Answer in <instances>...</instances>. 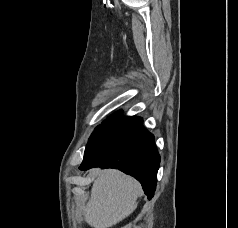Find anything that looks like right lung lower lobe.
<instances>
[{
    "label": "right lung lower lobe",
    "mask_w": 238,
    "mask_h": 228,
    "mask_svg": "<svg viewBox=\"0 0 238 228\" xmlns=\"http://www.w3.org/2000/svg\"><path fill=\"white\" fill-rule=\"evenodd\" d=\"M140 117H120L110 123L85 149L79 169L116 168L140 181L149 199L156 188L160 156L154 136L142 126Z\"/></svg>",
    "instance_id": "1"
}]
</instances>
